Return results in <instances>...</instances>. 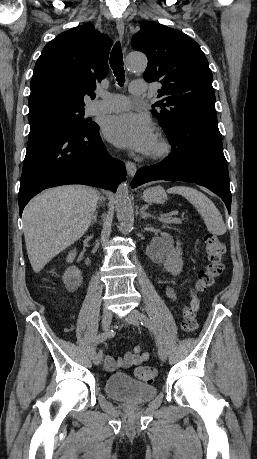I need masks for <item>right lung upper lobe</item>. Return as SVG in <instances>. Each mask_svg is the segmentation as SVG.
Here are the masks:
<instances>
[{"instance_id": "right-lung-upper-lobe-1", "label": "right lung upper lobe", "mask_w": 257, "mask_h": 459, "mask_svg": "<svg viewBox=\"0 0 257 459\" xmlns=\"http://www.w3.org/2000/svg\"><path fill=\"white\" fill-rule=\"evenodd\" d=\"M112 40L90 23L72 28L46 44L35 65L29 112L49 107H84V96L108 72Z\"/></svg>"}]
</instances>
